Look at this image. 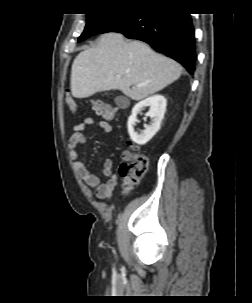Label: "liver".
Masks as SVG:
<instances>
[{
  "label": "liver",
  "instance_id": "obj_1",
  "mask_svg": "<svg viewBox=\"0 0 252 303\" xmlns=\"http://www.w3.org/2000/svg\"><path fill=\"white\" fill-rule=\"evenodd\" d=\"M182 69L145 43L128 42L119 33H106L96 47L82 51L74 59L71 92L75 98H87L100 91L120 90L139 101L176 81Z\"/></svg>",
  "mask_w": 252,
  "mask_h": 303
}]
</instances>
